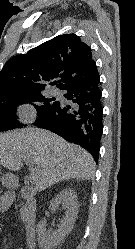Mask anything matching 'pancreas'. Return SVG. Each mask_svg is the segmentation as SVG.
I'll return each instance as SVG.
<instances>
[{"instance_id":"obj_1","label":"pancreas","mask_w":135,"mask_h":249,"mask_svg":"<svg viewBox=\"0 0 135 249\" xmlns=\"http://www.w3.org/2000/svg\"><path fill=\"white\" fill-rule=\"evenodd\" d=\"M21 218L26 223L28 216L33 214V207L30 204H26L20 210Z\"/></svg>"}]
</instances>
